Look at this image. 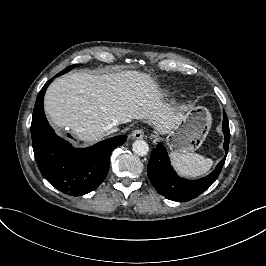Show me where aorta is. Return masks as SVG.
<instances>
[{"instance_id":"obj_1","label":"aorta","mask_w":266,"mask_h":266,"mask_svg":"<svg viewBox=\"0 0 266 266\" xmlns=\"http://www.w3.org/2000/svg\"><path fill=\"white\" fill-rule=\"evenodd\" d=\"M132 150L139 156H146L149 151V145L144 140H135L132 144Z\"/></svg>"}]
</instances>
